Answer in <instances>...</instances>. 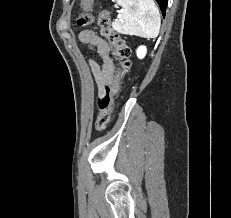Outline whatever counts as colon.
Wrapping results in <instances>:
<instances>
[{"label":"colon","mask_w":231,"mask_h":218,"mask_svg":"<svg viewBox=\"0 0 231 218\" xmlns=\"http://www.w3.org/2000/svg\"><path fill=\"white\" fill-rule=\"evenodd\" d=\"M93 0H81L82 11L77 18V25L80 27L90 25L93 20L92 14ZM97 24L101 35L106 38L114 49V53L119 59V70L111 85L107 86L102 95L98 98L99 114L96 119L95 128L97 131L106 129L112 114L113 98L119 91L122 78L126 76L131 67V50L123 39L115 32L111 25V17L107 10L102 11Z\"/></svg>","instance_id":"5ec220e1"}]
</instances>
